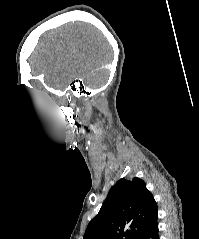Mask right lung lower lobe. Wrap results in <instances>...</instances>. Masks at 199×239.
<instances>
[{"mask_svg": "<svg viewBox=\"0 0 199 239\" xmlns=\"http://www.w3.org/2000/svg\"><path fill=\"white\" fill-rule=\"evenodd\" d=\"M137 239H159L157 218L142 231Z\"/></svg>", "mask_w": 199, "mask_h": 239, "instance_id": "1", "label": "right lung lower lobe"}]
</instances>
